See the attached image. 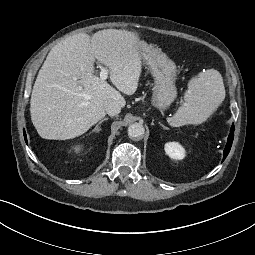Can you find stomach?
Returning a JSON list of instances; mask_svg holds the SVG:
<instances>
[{
    "label": "stomach",
    "mask_w": 255,
    "mask_h": 255,
    "mask_svg": "<svg viewBox=\"0 0 255 255\" xmlns=\"http://www.w3.org/2000/svg\"><path fill=\"white\" fill-rule=\"evenodd\" d=\"M137 45L141 59L148 65L154 78L152 105L164 111L177 97L175 80L178 70L176 64L159 48L148 45L143 40H139Z\"/></svg>",
    "instance_id": "1"
}]
</instances>
